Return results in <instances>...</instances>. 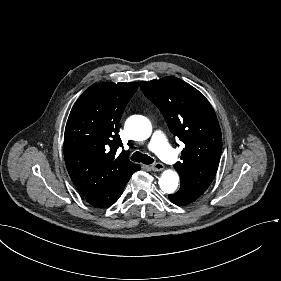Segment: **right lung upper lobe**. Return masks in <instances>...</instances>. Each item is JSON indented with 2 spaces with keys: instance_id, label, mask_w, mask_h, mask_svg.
Masks as SVG:
<instances>
[{
  "instance_id": "right-lung-upper-lobe-1",
  "label": "right lung upper lobe",
  "mask_w": 281,
  "mask_h": 281,
  "mask_svg": "<svg viewBox=\"0 0 281 281\" xmlns=\"http://www.w3.org/2000/svg\"><path fill=\"white\" fill-rule=\"evenodd\" d=\"M138 88L137 83H100L89 87L74 104L64 135V157L68 173L84 197H89L139 165L125 154L118 135L122 113Z\"/></svg>"
}]
</instances>
